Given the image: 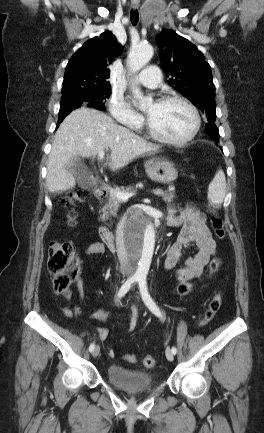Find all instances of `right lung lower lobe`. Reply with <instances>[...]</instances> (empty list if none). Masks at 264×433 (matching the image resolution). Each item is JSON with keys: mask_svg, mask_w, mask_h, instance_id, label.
Listing matches in <instances>:
<instances>
[{"mask_svg": "<svg viewBox=\"0 0 264 433\" xmlns=\"http://www.w3.org/2000/svg\"><path fill=\"white\" fill-rule=\"evenodd\" d=\"M63 119L58 120L57 127L60 125V123L63 121Z\"/></svg>", "mask_w": 264, "mask_h": 433, "instance_id": "obj_1", "label": "right lung lower lobe"}]
</instances>
